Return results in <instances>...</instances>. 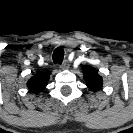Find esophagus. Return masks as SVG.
I'll use <instances>...</instances> for the list:
<instances>
[{
    "label": "esophagus",
    "mask_w": 133,
    "mask_h": 133,
    "mask_svg": "<svg viewBox=\"0 0 133 133\" xmlns=\"http://www.w3.org/2000/svg\"><path fill=\"white\" fill-rule=\"evenodd\" d=\"M60 68L63 69V70L69 68V62H68V60H64L62 62V64L60 65Z\"/></svg>",
    "instance_id": "34e87169"
}]
</instances>
